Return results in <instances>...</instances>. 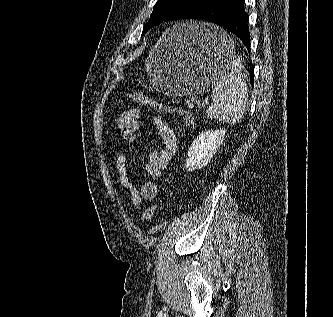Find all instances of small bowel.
I'll list each match as a JSON object with an SVG mask.
<instances>
[{"mask_svg":"<svg viewBox=\"0 0 333 317\" xmlns=\"http://www.w3.org/2000/svg\"><path fill=\"white\" fill-rule=\"evenodd\" d=\"M141 112L138 108L123 111L116 120V125L124 139L134 142L140 129ZM159 138L160 146L151 152L146 164L148 179L137 187L132 181L127 157L123 152L116 156L115 165L120 186L128 192L131 204L140 207L144 200H154L160 192L159 180L177 151L178 141L171 126L159 116L152 118Z\"/></svg>","mask_w":333,"mask_h":317,"instance_id":"small-bowel-1","label":"small bowel"}]
</instances>
